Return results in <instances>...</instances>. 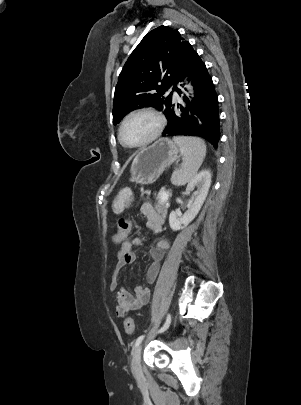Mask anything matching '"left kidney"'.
Returning a JSON list of instances; mask_svg holds the SVG:
<instances>
[{"instance_id": "left-kidney-1", "label": "left kidney", "mask_w": 301, "mask_h": 405, "mask_svg": "<svg viewBox=\"0 0 301 405\" xmlns=\"http://www.w3.org/2000/svg\"><path fill=\"white\" fill-rule=\"evenodd\" d=\"M211 185V173L209 170H202L194 176L187 185L186 193L189 194L195 187V198L188 210L180 216L172 211L169 215V225L173 231H179L186 227L200 211Z\"/></svg>"}]
</instances>
